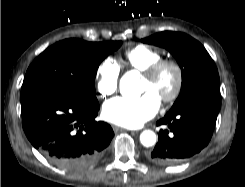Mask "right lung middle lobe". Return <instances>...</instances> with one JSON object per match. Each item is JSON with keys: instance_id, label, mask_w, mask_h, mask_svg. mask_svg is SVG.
<instances>
[{"instance_id": "1", "label": "right lung middle lobe", "mask_w": 245, "mask_h": 187, "mask_svg": "<svg viewBox=\"0 0 245 187\" xmlns=\"http://www.w3.org/2000/svg\"><path fill=\"white\" fill-rule=\"evenodd\" d=\"M120 46L121 41L90 43L78 39L54 44L29 66L21 100L41 93H61L98 104L96 71L102 60Z\"/></svg>"}]
</instances>
